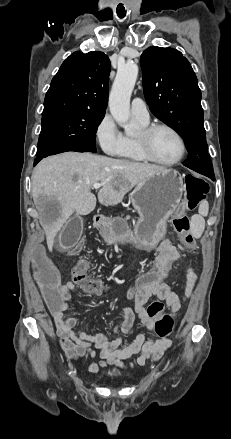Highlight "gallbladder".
<instances>
[{"label": "gallbladder", "instance_id": "obj_1", "mask_svg": "<svg viewBox=\"0 0 231 439\" xmlns=\"http://www.w3.org/2000/svg\"><path fill=\"white\" fill-rule=\"evenodd\" d=\"M83 232V219L80 216H74L62 228L56 248L59 251H66L75 246Z\"/></svg>", "mask_w": 231, "mask_h": 439}]
</instances>
